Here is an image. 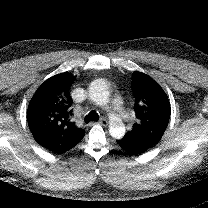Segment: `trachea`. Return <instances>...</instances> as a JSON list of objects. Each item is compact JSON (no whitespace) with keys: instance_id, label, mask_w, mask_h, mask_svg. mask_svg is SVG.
Returning <instances> with one entry per match:
<instances>
[{"instance_id":"obj_1","label":"trachea","mask_w":208,"mask_h":208,"mask_svg":"<svg viewBox=\"0 0 208 208\" xmlns=\"http://www.w3.org/2000/svg\"><path fill=\"white\" fill-rule=\"evenodd\" d=\"M84 120L86 124L91 121H98L99 115L95 111H91L90 113H88V115L85 116Z\"/></svg>"}]
</instances>
